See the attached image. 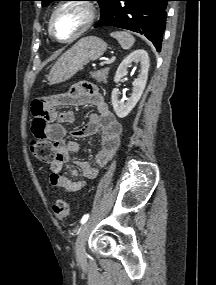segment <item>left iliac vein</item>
Returning a JSON list of instances; mask_svg holds the SVG:
<instances>
[{
    "label": "left iliac vein",
    "mask_w": 216,
    "mask_h": 285,
    "mask_svg": "<svg viewBox=\"0 0 216 285\" xmlns=\"http://www.w3.org/2000/svg\"><path fill=\"white\" fill-rule=\"evenodd\" d=\"M88 228L89 222H85L78 231L77 240L75 244L76 255L78 259H83L85 257V240Z\"/></svg>",
    "instance_id": "4c4485c4"
}]
</instances>
